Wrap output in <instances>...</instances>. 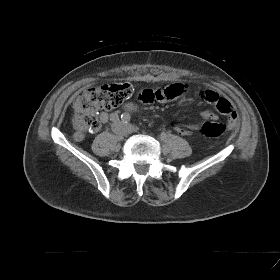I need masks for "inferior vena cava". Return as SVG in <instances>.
I'll return each instance as SVG.
<instances>
[{
  "label": "inferior vena cava",
  "instance_id": "602c4592",
  "mask_svg": "<svg viewBox=\"0 0 280 280\" xmlns=\"http://www.w3.org/2000/svg\"><path fill=\"white\" fill-rule=\"evenodd\" d=\"M112 130H113L115 133H120V134H125V133H126V132H121V131H119L116 124H113Z\"/></svg>",
  "mask_w": 280,
  "mask_h": 280
}]
</instances>
